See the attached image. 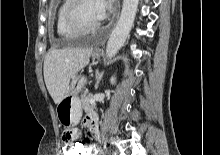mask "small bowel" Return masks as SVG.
I'll return each mask as SVG.
<instances>
[{"label": "small bowel", "instance_id": "small-bowel-1", "mask_svg": "<svg viewBox=\"0 0 220 155\" xmlns=\"http://www.w3.org/2000/svg\"><path fill=\"white\" fill-rule=\"evenodd\" d=\"M83 125L87 126L90 129L91 133H92V128L96 127L97 131L95 134L92 133V135L95 138L99 137L98 118L95 113L87 114L83 120ZM73 131L75 133H73ZM78 136H79V132L78 130L75 129V126H64V130H62L61 141H76ZM84 148H85L84 155H93L92 147L84 146Z\"/></svg>", "mask_w": 220, "mask_h": 155}]
</instances>
